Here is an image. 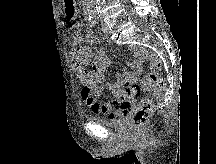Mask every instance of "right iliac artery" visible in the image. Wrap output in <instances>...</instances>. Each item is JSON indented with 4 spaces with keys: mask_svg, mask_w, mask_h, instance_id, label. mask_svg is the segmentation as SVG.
Listing matches in <instances>:
<instances>
[{
    "mask_svg": "<svg viewBox=\"0 0 216 164\" xmlns=\"http://www.w3.org/2000/svg\"><path fill=\"white\" fill-rule=\"evenodd\" d=\"M90 21L92 24H96V23H98L99 19L98 18H94V19L90 18Z\"/></svg>",
    "mask_w": 216,
    "mask_h": 164,
    "instance_id": "82829eb1",
    "label": "right iliac artery"
}]
</instances>
